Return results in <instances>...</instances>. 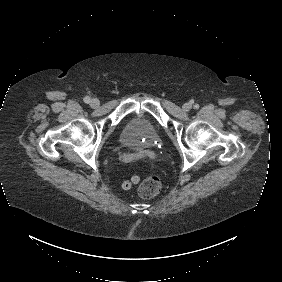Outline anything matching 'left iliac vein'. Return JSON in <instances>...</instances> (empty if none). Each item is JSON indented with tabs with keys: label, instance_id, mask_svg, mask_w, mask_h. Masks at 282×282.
I'll return each instance as SVG.
<instances>
[{
	"label": "left iliac vein",
	"instance_id": "1",
	"mask_svg": "<svg viewBox=\"0 0 282 282\" xmlns=\"http://www.w3.org/2000/svg\"><path fill=\"white\" fill-rule=\"evenodd\" d=\"M191 108H192V105H191L190 103H185V104L182 106V109H183V111H185V112L189 111Z\"/></svg>",
	"mask_w": 282,
	"mask_h": 282
}]
</instances>
